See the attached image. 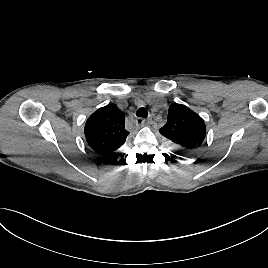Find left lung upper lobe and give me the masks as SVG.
I'll use <instances>...</instances> for the list:
<instances>
[{
	"mask_svg": "<svg viewBox=\"0 0 268 268\" xmlns=\"http://www.w3.org/2000/svg\"><path fill=\"white\" fill-rule=\"evenodd\" d=\"M159 132L178 148L194 151L203 144L206 126L203 119L187 106L172 103L167 123Z\"/></svg>",
	"mask_w": 268,
	"mask_h": 268,
	"instance_id": "obj_1",
	"label": "left lung upper lobe"
}]
</instances>
